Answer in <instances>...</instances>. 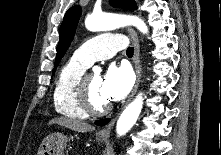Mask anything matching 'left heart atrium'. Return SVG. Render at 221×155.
<instances>
[{
  "mask_svg": "<svg viewBox=\"0 0 221 155\" xmlns=\"http://www.w3.org/2000/svg\"><path fill=\"white\" fill-rule=\"evenodd\" d=\"M132 84V73L125 65H111L102 77V91L108 101H118L124 98L129 93Z\"/></svg>",
  "mask_w": 221,
  "mask_h": 155,
  "instance_id": "39dd6f15",
  "label": "left heart atrium"
}]
</instances>
